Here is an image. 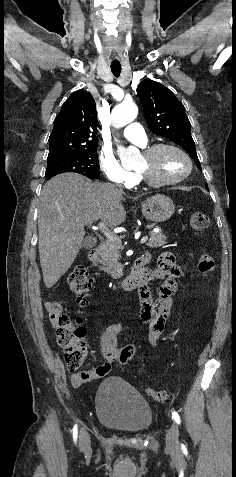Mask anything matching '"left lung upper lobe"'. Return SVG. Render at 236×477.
<instances>
[{"label": "left lung upper lobe", "mask_w": 236, "mask_h": 477, "mask_svg": "<svg viewBox=\"0 0 236 477\" xmlns=\"http://www.w3.org/2000/svg\"><path fill=\"white\" fill-rule=\"evenodd\" d=\"M138 94L150 130L183 147L202 170L183 104L171 90L150 79L139 84Z\"/></svg>", "instance_id": "5c2ea615"}]
</instances>
